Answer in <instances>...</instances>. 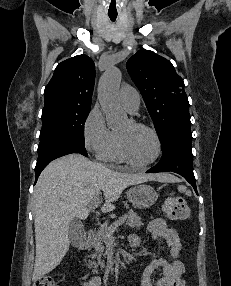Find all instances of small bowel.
Instances as JSON below:
<instances>
[{
	"instance_id": "obj_1",
	"label": "small bowel",
	"mask_w": 231,
	"mask_h": 286,
	"mask_svg": "<svg viewBox=\"0 0 231 286\" xmlns=\"http://www.w3.org/2000/svg\"><path fill=\"white\" fill-rule=\"evenodd\" d=\"M146 231L153 239H163L170 249V259L159 257L153 259L144 269L141 276V286H185L182 276L185 273V266L179 260L182 250L180 237L174 227L164 219L155 218L148 222ZM132 247H139L142 243V235L132 234L129 238ZM162 269V277L154 284L151 275L157 269ZM101 280L98 276H93L83 281V286H100Z\"/></svg>"
}]
</instances>
